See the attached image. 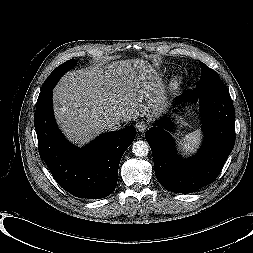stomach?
<instances>
[{
  "instance_id": "0dacf381",
  "label": "stomach",
  "mask_w": 253,
  "mask_h": 253,
  "mask_svg": "<svg viewBox=\"0 0 253 253\" xmlns=\"http://www.w3.org/2000/svg\"><path fill=\"white\" fill-rule=\"evenodd\" d=\"M150 110L152 111V113H149L148 116H153V115H156L153 113V111H155L156 113L158 112L159 113V108H158V104H153L151 107H150ZM180 121L181 123H185L184 120L182 118H180Z\"/></svg>"
}]
</instances>
